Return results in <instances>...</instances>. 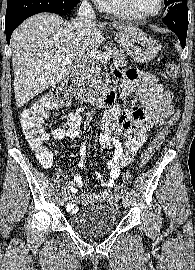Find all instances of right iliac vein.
Instances as JSON below:
<instances>
[{"label": "right iliac vein", "instance_id": "right-iliac-vein-1", "mask_svg": "<svg viewBox=\"0 0 195 270\" xmlns=\"http://www.w3.org/2000/svg\"><path fill=\"white\" fill-rule=\"evenodd\" d=\"M66 201H67V195L66 194H63L61 196V199H60L61 205H64L66 203Z\"/></svg>", "mask_w": 195, "mask_h": 270}]
</instances>
